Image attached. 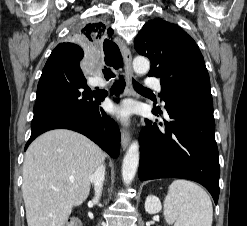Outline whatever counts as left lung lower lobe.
<instances>
[{"label": "left lung lower lobe", "mask_w": 247, "mask_h": 226, "mask_svg": "<svg viewBox=\"0 0 247 226\" xmlns=\"http://www.w3.org/2000/svg\"><path fill=\"white\" fill-rule=\"evenodd\" d=\"M169 121L146 125L140 133L139 179L185 178L203 185L215 204L219 159L210 85H178L163 96ZM161 116L160 108L153 110Z\"/></svg>", "instance_id": "obj_1"}]
</instances>
